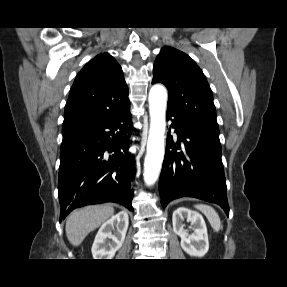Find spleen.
Listing matches in <instances>:
<instances>
[{
  "instance_id": "3e777b00",
  "label": "spleen",
  "mask_w": 287,
  "mask_h": 287,
  "mask_svg": "<svg viewBox=\"0 0 287 287\" xmlns=\"http://www.w3.org/2000/svg\"><path fill=\"white\" fill-rule=\"evenodd\" d=\"M195 208L200 210L207 217L209 223L216 232L222 228L220 217L214 208L204 204H197Z\"/></svg>"
}]
</instances>
